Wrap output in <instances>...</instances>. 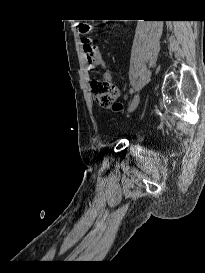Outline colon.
Here are the masks:
<instances>
[{"mask_svg": "<svg viewBox=\"0 0 205 273\" xmlns=\"http://www.w3.org/2000/svg\"><path fill=\"white\" fill-rule=\"evenodd\" d=\"M76 29L79 34L86 35L90 32L91 26L87 22L77 21ZM90 86L99 105L103 107H111L115 112H120L122 110V104L116 102L119 91L108 80L92 79Z\"/></svg>", "mask_w": 205, "mask_h": 273, "instance_id": "5ec220e1", "label": "colon"}]
</instances>
